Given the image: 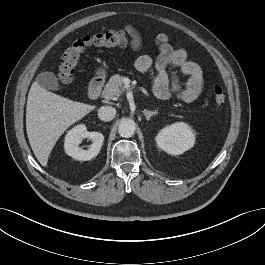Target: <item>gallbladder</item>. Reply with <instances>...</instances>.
<instances>
[{
    "instance_id": "bac80fb5",
    "label": "gallbladder",
    "mask_w": 265,
    "mask_h": 265,
    "mask_svg": "<svg viewBox=\"0 0 265 265\" xmlns=\"http://www.w3.org/2000/svg\"><path fill=\"white\" fill-rule=\"evenodd\" d=\"M37 82L44 88L60 90L58 78L51 72H43L37 76Z\"/></svg>"
}]
</instances>
